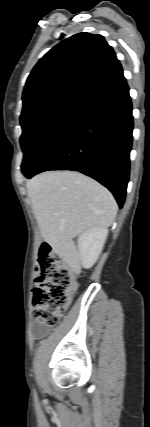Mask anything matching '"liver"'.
<instances>
[{"label": "liver", "mask_w": 150, "mask_h": 427, "mask_svg": "<svg viewBox=\"0 0 150 427\" xmlns=\"http://www.w3.org/2000/svg\"><path fill=\"white\" fill-rule=\"evenodd\" d=\"M26 187L43 239L63 257L70 256L74 237L92 227H109L117 213L111 192L78 172H44Z\"/></svg>", "instance_id": "1"}]
</instances>
